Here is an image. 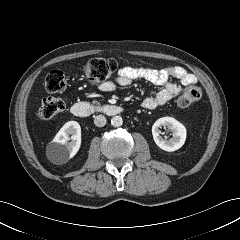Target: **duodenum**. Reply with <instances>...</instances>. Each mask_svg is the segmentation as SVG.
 Returning a JSON list of instances; mask_svg holds the SVG:
<instances>
[{
    "label": "duodenum",
    "instance_id": "1",
    "mask_svg": "<svg viewBox=\"0 0 240 240\" xmlns=\"http://www.w3.org/2000/svg\"><path fill=\"white\" fill-rule=\"evenodd\" d=\"M70 112L79 118H86L97 113L115 116L122 113L123 108L112 104L93 105L89 102H77L71 106Z\"/></svg>",
    "mask_w": 240,
    "mask_h": 240
}]
</instances>
